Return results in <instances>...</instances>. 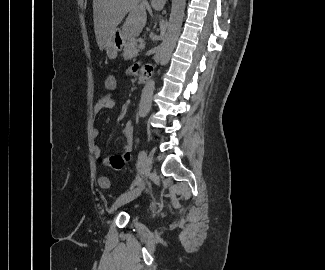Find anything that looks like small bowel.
<instances>
[{
  "label": "small bowel",
  "instance_id": "obj_1",
  "mask_svg": "<svg viewBox=\"0 0 325 270\" xmlns=\"http://www.w3.org/2000/svg\"><path fill=\"white\" fill-rule=\"evenodd\" d=\"M152 71L151 66L145 67V74H149ZM105 87V86H104ZM116 106V97L111 94H105L97 99L93 106V112L94 114H98L104 109H113ZM133 126L131 122H127L123 128V136L125 138V144H124V154L123 155H112L108 158H105L103 160V163L106 166H109L113 169H121L125 162L130 160L131 153L133 150ZM92 136L93 138H97L99 136V130L98 128L94 127L92 129ZM93 156L95 158H100L101 156V148L99 145H94L93 147Z\"/></svg>",
  "mask_w": 325,
  "mask_h": 270
}]
</instances>
